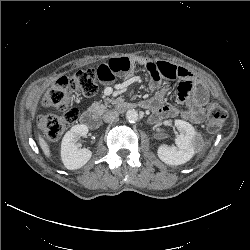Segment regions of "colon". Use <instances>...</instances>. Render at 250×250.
Instances as JSON below:
<instances>
[{
  "label": "colon",
  "instance_id": "1",
  "mask_svg": "<svg viewBox=\"0 0 250 250\" xmlns=\"http://www.w3.org/2000/svg\"><path fill=\"white\" fill-rule=\"evenodd\" d=\"M97 70L88 68L79 70L72 76L58 78L46 91L42 98V105L47 108H54L61 115L45 114L38 118V125L45 135L51 140H57L65 131L68 125L78 119L77 108L71 105L72 96L80 93L91 97L98 90ZM225 110L215 103L207 107V129L214 133L219 131L225 122Z\"/></svg>",
  "mask_w": 250,
  "mask_h": 250
}]
</instances>
